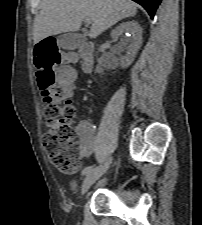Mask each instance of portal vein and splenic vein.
<instances>
[{
  "mask_svg": "<svg viewBox=\"0 0 202 225\" xmlns=\"http://www.w3.org/2000/svg\"><path fill=\"white\" fill-rule=\"evenodd\" d=\"M92 21L89 18H85V23L90 24Z\"/></svg>",
  "mask_w": 202,
  "mask_h": 225,
  "instance_id": "18ae733b",
  "label": "portal vein and splenic vein"
}]
</instances>
